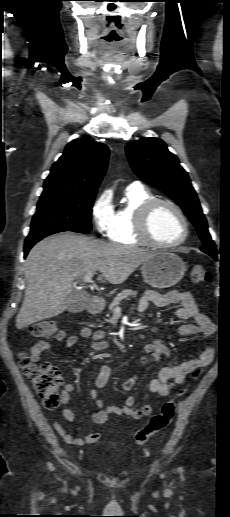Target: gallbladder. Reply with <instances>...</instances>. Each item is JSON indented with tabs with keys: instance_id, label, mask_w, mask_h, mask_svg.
<instances>
[{
	"instance_id": "bac80fb5",
	"label": "gallbladder",
	"mask_w": 230,
	"mask_h": 517,
	"mask_svg": "<svg viewBox=\"0 0 230 517\" xmlns=\"http://www.w3.org/2000/svg\"><path fill=\"white\" fill-rule=\"evenodd\" d=\"M88 301V295L84 291H73L66 300L67 310L72 313L80 312L84 309Z\"/></svg>"
}]
</instances>
